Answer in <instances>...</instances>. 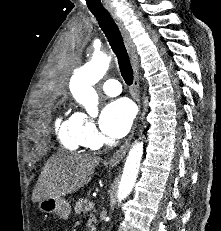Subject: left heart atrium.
Returning <instances> with one entry per match:
<instances>
[{"label": "left heart atrium", "instance_id": "39dd6f15", "mask_svg": "<svg viewBox=\"0 0 221 231\" xmlns=\"http://www.w3.org/2000/svg\"><path fill=\"white\" fill-rule=\"evenodd\" d=\"M134 119L132 104L125 99L108 103L101 112L99 126L102 132L111 138L125 136Z\"/></svg>", "mask_w": 221, "mask_h": 231}]
</instances>
